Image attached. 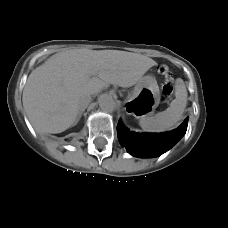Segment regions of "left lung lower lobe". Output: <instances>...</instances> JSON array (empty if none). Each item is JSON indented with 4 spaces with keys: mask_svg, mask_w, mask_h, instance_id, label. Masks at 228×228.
I'll return each instance as SVG.
<instances>
[{
    "mask_svg": "<svg viewBox=\"0 0 228 228\" xmlns=\"http://www.w3.org/2000/svg\"><path fill=\"white\" fill-rule=\"evenodd\" d=\"M187 126L188 117L173 131L143 134L130 132L119 122L117 125V135L121 145L131 155L137 157H156L168 151L186 133Z\"/></svg>",
    "mask_w": 228,
    "mask_h": 228,
    "instance_id": "1",
    "label": "left lung lower lobe"
}]
</instances>
